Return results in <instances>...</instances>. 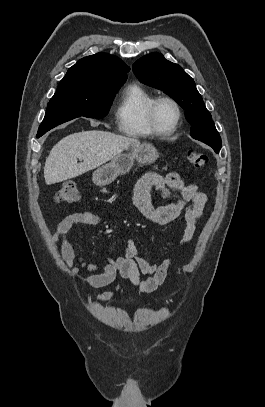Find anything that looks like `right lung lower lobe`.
<instances>
[{
  "mask_svg": "<svg viewBox=\"0 0 265 407\" xmlns=\"http://www.w3.org/2000/svg\"><path fill=\"white\" fill-rule=\"evenodd\" d=\"M40 136H42V135H37V137H40Z\"/></svg>",
  "mask_w": 265,
  "mask_h": 407,
  "instance_id": "obj_1",
  "label": "right lung lower lobe"
}]
</instances>
